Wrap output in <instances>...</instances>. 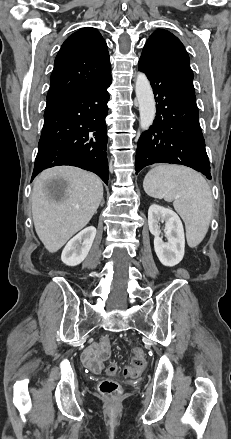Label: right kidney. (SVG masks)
Masks as SVG:
<instances>
[{
	"label": "right kidney",
	"mask_w": 231,
	"mask_h": 439,
	"mask_svg": "<svg viewBox=\"0 0 231 439\" xmlns=\"http://www.w3.org/2000/svg\"><path fill=\"white\" fill-rule=\"evenodd\" d=\"M96 228L89 226L74 236L62 251L61 260L67 266H77L87 257L94 238Z\"/></svg>",
	"instance_id": "1"
}]
</instances>
